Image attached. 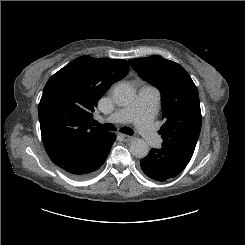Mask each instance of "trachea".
I'll use <instances>...</instances> for the list:
<instances>
[{
    "label": "trachea",
    "instance_id": "3493384b",
    "mask_svg": "<svg viewBox=\"0 0 245 245\" xmlns=\"http://www.w3.org/2000/svg\"><path fill=\"white\" fill-rule=\"evenodd\" d=\"M94 125L98 126L99 128L103 129V130H107V131H115L116 128L112 125V124H100L97 121H94ZM120 131L122 133L128 134V135H133L134 131L130 128H121Z\"/></svg>",
    "mask_w": 245,
    "mask_h": 245
}]
</instances>
